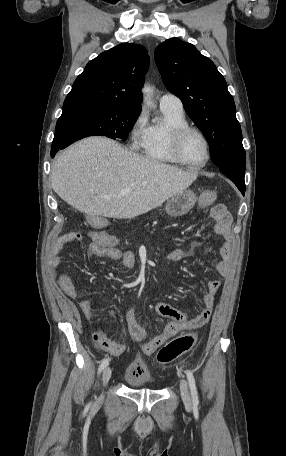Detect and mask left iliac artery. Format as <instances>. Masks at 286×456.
I'll return each instance as SVG.
<instances>
[{
    "mask_svg": "<svg viewBox=\"0 0 286 456\" xmlns=\"http://www.w3.org/2000/svg\"><path fill=\"white\" fill-rule=\"evenodd\" d=\"M186 375H187V379H188V383H189V387H190V391H191L193 404L195 406H197L199 404V400H198V393H197V389H196L195 378H194L192 372L189 370L186 371Z\"/></svg>",
    "mask_w": 286,
    "mask_h": 456,
    "instance_id": "obj_1",
    "label": "left iliac artery"
}]
</instances>
